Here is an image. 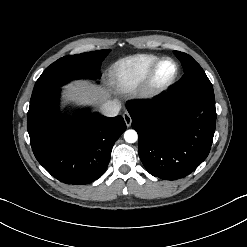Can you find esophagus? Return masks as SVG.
I'll list each match as a JSON object with an SVG mask.
<instances>
[{
	"label": "esophagus",
	"mask_w": 247,
	"mask_h": 247,
	"mask_svg": "<svg viewBox=\"0 0 247 247\" xmlns=\"http://www.w3.org/2000/svg\"><path fill=\"white\" fill-rule=\"evenodd\" d=\"M123 118H124V121L126 123V126L129 127L131 125V122H132V118H131L130 114L128 112H125L123 114Z\"/></svg>",
	"instance_id": "obj_1"
}]
</instances>
